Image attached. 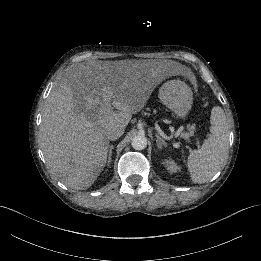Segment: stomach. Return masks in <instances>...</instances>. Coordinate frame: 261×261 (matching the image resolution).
<instances>
[{"instance_id": "1", "label": "stomach", "mask_w": 261, "mask_h": 261, "mask_svg": "<svg viewBox=\"0 0 261 261\" xmlns=\"http://www.w3.org/2000/svg\"><path fill=\"white\" fill-rule=\"evenodd\" d=\"M159 99L177 117L184 119L192 107L193 92L185 82L170 80L160 87Z\"/></svg>"}]
</instances>
